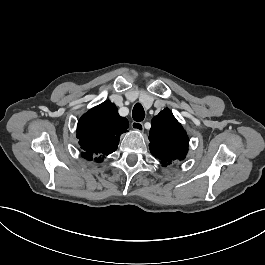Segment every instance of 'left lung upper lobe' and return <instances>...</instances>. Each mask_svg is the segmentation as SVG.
<instances>
[{
    "label": "left lung upper lobe",
    "instance_id": "obj_1",
    "mask_svg": "<svg viewBox=\"0 0 265 265\" xmlns=\"http://www.w3.org/2000/svg\"><path fill=\"white\" fill-rule=\"evenodd\" d=\"M149 140L152 155L161 160L163 166L186 157L188 136L168 108L152 119Z\"/></svg>",
    "mask_w": 265,
    "mask_h": 265
}]
</instances>
